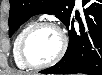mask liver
Segmentation results:
<instances>
[{
  "instance_id": "6515ba94",
  "label": "liver",
  "mask_w": 102,
  "mask_h": 75,
  "mask_svg": "<svg viewBox=\"0 0 102 75\" xmlns=\"http://www.w3.org/2000/svg\"><path fill=\"white\" fill-rule=\"evenodd\" d=\"M9 75H25V74H23L22 72H12Z\"/></svg>"
}]
</instances>
